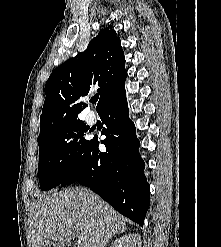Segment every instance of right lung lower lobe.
I'll use <instances>...</instances> for the list:
<instances>
[{
	"label": "right lung lower lobe",
	"instance_id": "obj_1",
	"mask_svg": "<svg viewBox=\"0 0 221 247\" xmlns=\"http://www.w3.org/2000/svg\"><path fill=\"white\" fill-rule=\"evenodd\" d=\"M106 128L100 152L97 137L90 140L83 157L60 184L78 182L89 187L122 215L143 226L150 205V188L139 154L140 142L129 119L126 94L106 105L99 113Z\"/></svg>",
	"mask_w": 221,
	"mask_h": 247
}]
</instances>
